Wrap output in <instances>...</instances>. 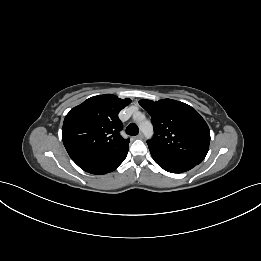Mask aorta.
<instances>
[{"mask_svg":"<svg viewBox=\"0 0 261 261\" xmlns=\"http://www.w3.org/2000/svg\"><path fill=\"white\" fill-rule=\"evenodd\" d=\"M138 125L147 138H150L153 135V126L149 121H140Z\"/></svg>","mask_w":261,"mask_h":261,"instance_id":"aorta-1","label":"aorta"}]
</instances>
